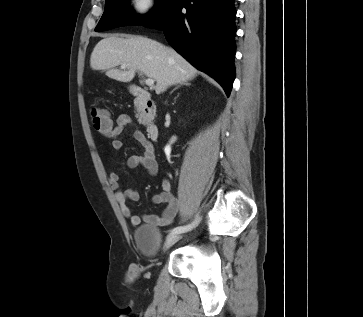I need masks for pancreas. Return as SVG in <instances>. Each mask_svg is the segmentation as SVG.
Segmentation results:
<instances>
[{"mask_svg":"<svg viewBox=\"0 0 363 317\" xmlns=\"http://www.w3.org/2000/svg\"><path fill=\"white\" fill-rule=\"evenodd\" d=\"M136 110H137V114H136V117H138L139 119H138V121H139V123H141V124H146V121H147V118H146V116L144 115V113L142 112V110H141V108L138 106V105H136Z\"/></svg>","mask_w":363,"mask_h":317,"instance_id":"obj_1","label":"pancreas"}]
</instances>
